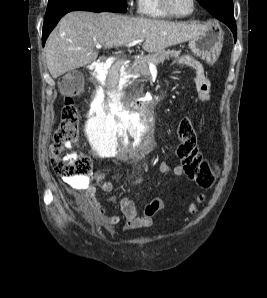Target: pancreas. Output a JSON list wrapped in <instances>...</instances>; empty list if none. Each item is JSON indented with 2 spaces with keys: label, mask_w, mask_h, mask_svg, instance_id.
I'll list each match as a JSON object with an SVG mask.
<instances>
[{
  "label": "pancreas",
  "mask_w": 267,
  "mask_h": 298,
  "mask_svg": "<svg viewBox=\"0 0 267 298\" xmlns=\"http://www.w3.org/2000/svg\"><path fill=\"white\" fill-rule=\"evenodd\" d=\"M179 52L174 50H160L155 52L154 54H150L147 56H138L135 57L134 63L128 69L129 73L132 74H141L143 76H149V62L157 65L163 62L165 59H169L171 57H177Z\"/></svg>",
  "instance_id": "1"
}]
</instances>
